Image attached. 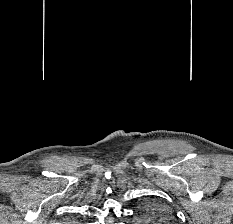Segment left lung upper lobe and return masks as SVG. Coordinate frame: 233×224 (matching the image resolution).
Wrapping results in <instances>:
<instances>
[{"instance_id":"5c2ea615","label":"left lung upper lobe","mask_w":233,"mask_h":224,"mask_svg":"<svg viewBox=\"0 0 233 224\" xmlns=\"http://www.w3.org/2000/svg\"><path fill=\"white\" fill-rule=\"evenodd\" d=\"M140 215L147 224H174L175 218L170 209L157 201H147L140 207Z\"/></svg>"}]
</instances>
